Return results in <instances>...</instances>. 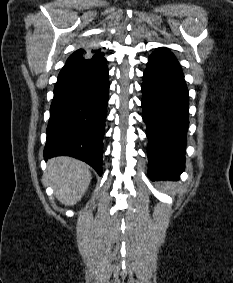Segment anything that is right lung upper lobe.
Returning <instances> with one entry per match:
<instances>
[{
	"label": "right lung upper lobe",
	"mask_w": 233,
	"mask_h": 283,
	"mask_svg": "<svg viewBox=\"0 0 233 283\" xmlns=\"http://www.w3.org/2000/svg\"><path fill=\"white\" fill-rule=\"evenodd\" d=\"M92 49V50H85ZM111 49H94V44H83V49H78L72 53L67 62L79 61L87 58L100 59L104 54H111Z\"/></svg>",
	"instance_id": "1"
}]
</instances>
